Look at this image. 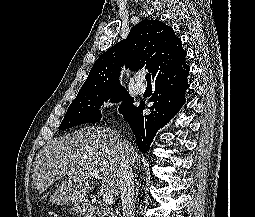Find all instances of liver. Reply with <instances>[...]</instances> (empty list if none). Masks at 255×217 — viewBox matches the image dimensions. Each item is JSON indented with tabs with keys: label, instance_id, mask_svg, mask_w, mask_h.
Listing matches in <instances>:
<instances>
[{
	"label": "liver",
	"instance_id": "6515ba94",
	"mask_svg": "<svg viewBox=\"0 0 255 217\" xmlns=\"http://www.w3.org/2000/svg\"><path fill=\"white\" fill-rule=\"evenodd\" d=\"M129 148L130 166L137 168L138 151L110 128L92 126L59 138L40 150L34 161L32 185L42 194L73 168L69 179L50 196L58 205L84 202L92 188L91 174L100 175L102 187L120 193L121 153Z\"/></svg>",
	"mask_w": 255,
	"mask_h": 217
}]
</instances>
